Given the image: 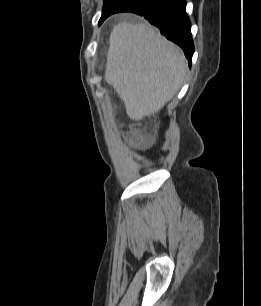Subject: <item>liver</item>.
I'll return each mask as SVG.
<instances>
[{"instance_id": "obj_1", "label": "liver", "mask_w": 261, "mask_h": 306, "mask_svg": "<svg viewBox=\"0 0 261 306\" xmlns=\"http://www.w3.org/2000/svg\"><path fill=\"white\" fill-rule=\"evenodd\" d=\"M187 62L174 43L146 23H118L109 40L105 80L133 120L158 112L178 92Z\"/></svg>"}]
</instances>
